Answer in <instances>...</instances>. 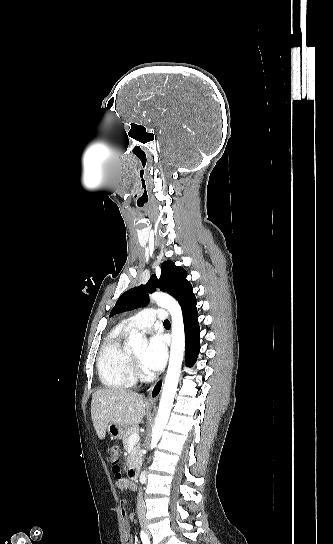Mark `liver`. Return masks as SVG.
<instances>
[{"instance_id":"1","label":"liver","mask_w":333,"mask_h":544,"mask_svg":"<svg viewBox=\"0 0 333 544\" xmlns=\"http://www.w3.org/2000/svg\"><path fill=\"white\" fill-rule=\"evenodd\" d=\"M144 397L124 389H99L92 395L91 416L99 439H104L108 424L123 427L143 422Z\"/></svg>"}]
</instances>
